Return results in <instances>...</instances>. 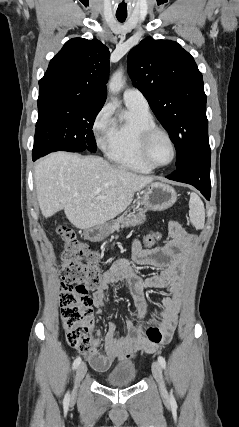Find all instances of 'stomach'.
<instances>
[{
    "mask_svg": "<svg viewBox=\"0 0 239 427\" xmlns=\"http://www.w3.org/2000/svg\"><path fill=\"white\" fill-rule=\"evenodd\" d=\"M177 200V194L173 187L170 185L155 182L147 186L144 196L143 204L146 209L152 211H163L170 208ZM145 215L133 216L128 224L124 226H136L145 221ZM123 226V227H124ZM110 223L93 226L84 230L85 239L92 242H99L104 240L111 232L109 228Z\"/></svg>",
    "mask_w": 239,
    "mask_h": 427,
    "instance_id": "0dacf381",
    "label": "stomach"
}]
</instances>
